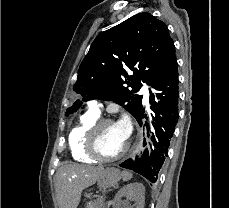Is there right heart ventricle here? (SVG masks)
<instances>
[{"mask_svg": "<svg viewBox=\"0 0 229 208\" xmlns=\"http://www.w3.org/2000/svg\"><path fill=\"white\" fill-rule=\"evenodd\" d=\"M99 118V114L88 109V111L80 116L78 122L71 129L68 136V146L73 161L80 164L94 163L97 158H88V153H83L82 149L86 148L87 131L89 126Z\"/></svg>", "mask_w": 229, "mask_h": 208, "instance_id": "obj_1", "label": "right heart ventricle"}]
</instances>
